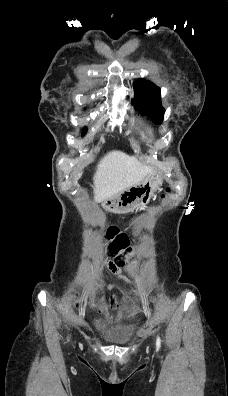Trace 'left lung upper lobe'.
Segmentation results:
<instances>
[{
    "mask_svg": "<svg viewBox=\"0 0 228 396\" xmlns=\"http://www.w3.org/2000/svg\"><path fill=\"white\" fill-rule=\"evenodd\" d=\"M134 93L135 108L161 124L165 110L161 105L160 88L149 81L139 79L134 83Z\"/></svg>",
    "mask_w": 228,
    "mask_h": 396,
    "instance_id": "1",
    "label": "left lung upper lobe"
}]
</instances>
